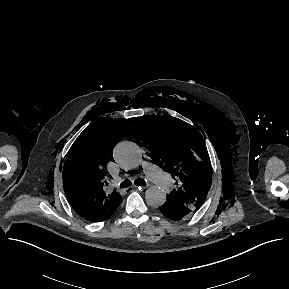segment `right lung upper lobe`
<instances>
[{
	"label": "right lung upper lobe",
	"instance_id": "1",
	"mask_svg": "<svg viewBox=\"0 0 289 289\" xmlns=\"http://www.w3.org/2000/svg\"><path fill=\"white\" fill-rule=\"evenodd\" d=\"M129 121L94 124L78 137L66 158L64 191L72 208L87 221L108 219L121 203L122 196L116 191L104 192V178L109 175L107 162L113 158L114 146L132 127L126 124Z\"/></svg>",
	"mask_w": 289,
	"mask_h": 289
}]
</instances>
